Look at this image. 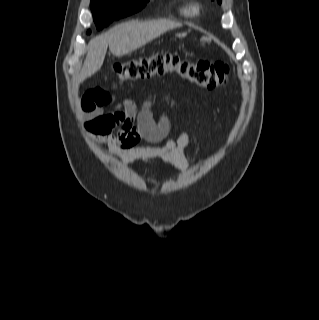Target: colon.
I'll use <instances>...</instances> for the list:
<instances>
[{"instance_id":"5ec220e1","label":"colon","mask_w":319,"mask_h":320,"mask_svg":"<svg viewBox=\"0 0 319 320\" xmlns=\"http://www.w3.org/2000/svg\"><path fill=\"white\" fill-rule=\"evenodd\" d=\"M113 72L120 85L173 72L194 85L213 89L226 84L229 66L223 62L182 57L174 52H159L151 56L115 63ZM120 132L128 145H135L142 140L159 142L167 134L165 129L155 127L149 122L135 124L126 118L122 121Z\"/></svg>"}]
</instances>
